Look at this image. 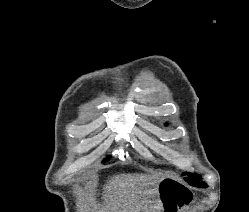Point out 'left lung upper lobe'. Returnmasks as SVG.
<instances>
[{"instance_id": "1", "label": "left lung upper lobe", "mask_w": 249, "mask_h": 212, "mask_svg": "<svg viewBox=\"0 0 249 212\" xmlns=\"http://www.w3.org/2000/svg\"><path fill=\"white\" fill-rule=\"evenodd\" d=\"M183 175H188L189 177L186 178V180L190 184H194V186H197V187H206L207 186L205 183H201V180L199 178H197L194 174L184 173Z\"/></svg>"}]
</instances>
